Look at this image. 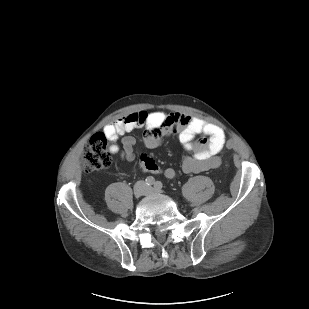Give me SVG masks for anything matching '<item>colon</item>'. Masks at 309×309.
<instances>
[{
  "mask_svg": "<svg viewBox=\"0 0 309 309\" xmlns=\"http://www.w3.org/2000/svg\"><path fill=\"white\" fill-rule=\"evenodd\" d=\"M225 147L230 149L233 147V143L229 141ZM81 161L82 169L87 173L102 170L111 165V152L104 133L95 135L84 146Z\"/></svg>",
  "mask_w": 309,
  "mask_h": 309,
  "instance_id": "obj_1",
  "label": "colon"
}]
</instances>
